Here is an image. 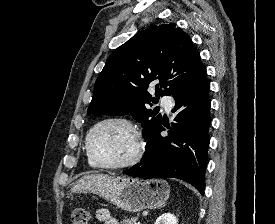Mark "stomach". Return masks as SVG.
Returning <instances> with one entry per match:
<instances>
[{
    "label": "stomach",
    "mask_w": 275,
    "mask_h": 224,
    "mask_svg": "<svg viewBox=\"0 0 275 224\" xmlns=\"http://www.w3.org/2000/svg\"><path fill=\"white\" fill-rule=\"evenodd\" d=\"M72 193H93L128 212L162 206L170 187L161 179L141 180L106 174L85 175L76 180Z\"/></svg>",
    "instance_id": "1"
}]
</instances>
